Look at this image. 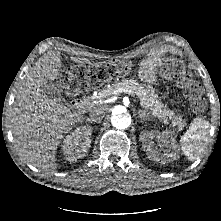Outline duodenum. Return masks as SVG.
<instances>
[{
    "label": "duodenum",
    "instance_id": "1",
    "mask_svg": "<svg viewBox=\"0 0 221 221\" xmlns=\"http://www.w3.org/2000/svg\"><path fill=\"white\" fill-rule=\"evenodd\" d=\"M70 105L76 109V110H80L83 105H84V98H76V99H73L71 102H70Z\"/></svg>",
    "mask_w": 221,
    "mask_h": 221
}]
</instances>
